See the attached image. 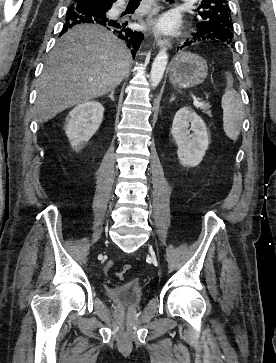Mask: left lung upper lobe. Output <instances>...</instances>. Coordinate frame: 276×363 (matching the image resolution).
Returning <instances> with one entry per match:
<instances>
[{
  "instance_id": "obj_1",
  "label": "left lung upper lobe",
  "mask_w": 276,
  "mask_h": 363,
  "mask_svg": "<svg viewBox=\"0 0 276 363\" xmlns=\"http://www.w3.org/2000/svg\"><path fill=\"white\" fill-rule=\"evenodd\" d=\"M198 14L197 30L204 32L211 39L231 42L233 23L227 0H202Z\"/></svg>"
}]
</instances>
